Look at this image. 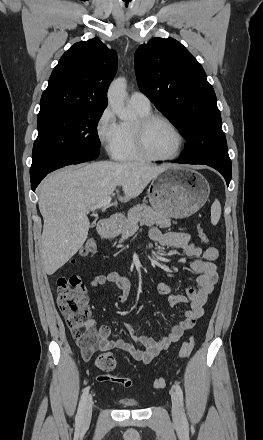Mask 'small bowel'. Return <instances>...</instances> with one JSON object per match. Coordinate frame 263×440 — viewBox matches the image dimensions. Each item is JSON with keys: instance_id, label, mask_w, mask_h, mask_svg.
<instances>
[{"instance_id": "c3829d8e", "label": "small bowel", "mask_w": 263, "mask_h": 440, "mask_svg": "<svg viewBox=\"0 0 263 440\" xmlns=\"http://www.w3.org/2000/svg\"><path fill=\"white\" fill-rule=\"evenodd\" d=\"M148 236L151 241L162 246L181 249L186 257L193 259L190 263V269L198 276L196 287L187 288L184 295L172 294L170 287L164 282L158 285V293L165 298L169 305L185 303L189 306L185 311L184 319L173 326L166 335L158 339L136 335L131 325L126 323L124 327L132 338V341H127L124 339H111V330L106 323L100 324L96 329L97 343L95 349H120L129 353L136 361L144 364L150 363L162 350L177 342L186 331L195 325L196 321L202 316L203 305L218 279L214 264V261L218 258L216 248L207 247L202 250L191 242L189 234L184 232L162 233L159 229L153 228L149 231ZM89 284L92 288L114 284L119 289L117 296L119 303H125L131 292L130 279L116 271L97 274L91 278Z\"/></svg>"}]
</instances>
